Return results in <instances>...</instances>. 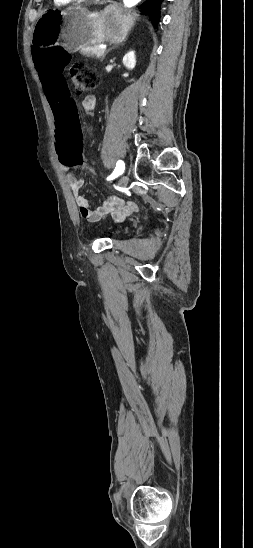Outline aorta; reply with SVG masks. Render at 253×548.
I'll use <instances>...</instances> for the list:
<instances>
[{"instance_id": "1", "label": "aorta", "mask_w": 253, "mask_h": 548, "mask_svg": "<svg viewBox=\"0 0 253 548\" xmlns=\"http://www.w3.org/2000/svg\"><path fill=\"white\" fill-rule=\"evenodd\" d=\"M141 2V0H123L125 7H134L138 5Z\"/></svg>"}]
</instances>
